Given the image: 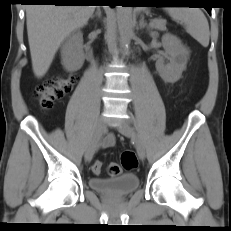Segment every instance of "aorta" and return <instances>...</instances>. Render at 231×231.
Here are the masks:
<instances>
[{
  "mask_svg": "<svg viewBox=\"0 0 231 231\" xmlns=\"http://www.w3.org/2000/svg\"><path fill=\"white\" fill-rule=\"evenodd\" d=\"M116 14L120 42L124 51L128 52V45L132 36V7L117 6Z\"/></svg>",
  "mask_w": 231,
  "mask_h": 231,
  "instance_id": "1",
  "label": "aorta"
}]
</instances>
